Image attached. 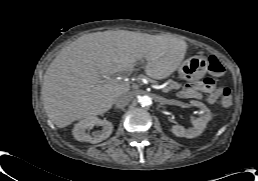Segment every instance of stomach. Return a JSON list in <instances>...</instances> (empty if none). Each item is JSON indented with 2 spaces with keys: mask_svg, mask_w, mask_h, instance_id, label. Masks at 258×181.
<instances>
[{
  "mask_svg": "<svg viewBox=\"0 0 258 181\" xmlns=\"http://www.w3.org/2000/svg\"><path fill=\"white\" fill-rule=\"evenodd\" d=\"M208 61L202 56H192L183 61L178 67L179 76L187 81L198 79L205 75Z\"/></svg>",
  "mask_w": 258,
  "mask_h": 181,
  "instance_id": "stomach-1",
  "label": "stomach"
}]
</instances>
